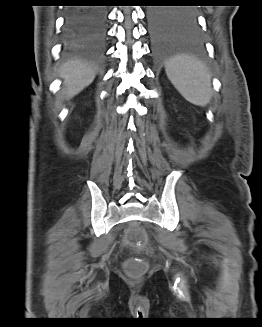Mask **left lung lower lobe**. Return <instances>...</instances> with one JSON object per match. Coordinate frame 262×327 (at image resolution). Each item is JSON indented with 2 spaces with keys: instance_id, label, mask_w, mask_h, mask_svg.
<instances>
[{
  "instance_id": "0a47b994",
  "label": "left lung lower lobe",
  "mask_w": 262,
  "mask_h": 327,
  "mask_svg": "<svg viewBox=\"0 0 262 327\" xmlns=\"http://www.w3.org/2000/svg\"><path fill=\"white\" fill-rule=\"evenodd\" d=\"M186 8L151 7L147 13L153 51L157 55L171 53L202 54L204 39L196 16Z\"/></svg>"
}]
</instances>
